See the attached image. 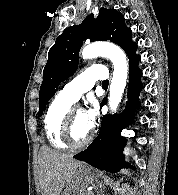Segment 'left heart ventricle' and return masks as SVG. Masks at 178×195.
I'll return each mask as SVG.
<instances>
[{"label": "left heart ventricle", "mask_w": 178, "mask_h": 195, "mask_svg": "<svg viewBox=\"0 0 178 195\" xmlns=\"http://www.w3.org/2000/svg\"><path fill=\"white\" fill-rule=\"evenodd\" d=\"M91 130L84 119V112L76 110L72 125V138L76 143H81L88 138Z\"/></svg>", "instance_id": "b2bd125f"}]
</instances>
